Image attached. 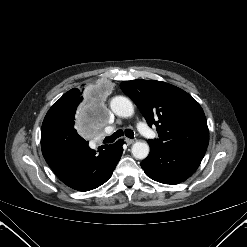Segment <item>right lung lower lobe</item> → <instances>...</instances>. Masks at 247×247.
<instances>
[{
	"instance_id": "right-lung-lower-lobe-1",
	"label": "right lung lower lobe",
	"mask_w": 247,
	"mask_h": 247,
	"mask_svg": "<svg viewBox=\"0 0 247 247\" xmlns=\"http://www.w3.org/2000/svg\"><path fill=\"white\" fill-rule=\"evenodd\" d=\"M123 140L105 145L96 153L73 125L55 119H44L41 149L46 162L67 186L89 191L111 177L123 152Z\"/></svg>"
}]
</instances>
